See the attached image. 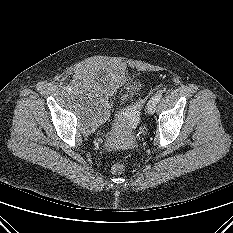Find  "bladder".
Wrapping results in <instances>:
<instances>
[{
  "label": "bladder",
  "mask_w": 233,
  "mask_h": 233,
  "mask_svg": "<svg viewBox=\"0 0 233 233\" xmlns=\"http://www.w3.org/2000/svg\"><path fill=\"white\" fill-rule=\"evenodd\" d=\"M124 88V98L135 95L137 82H130L124 70L99 62L82 65L72 81L82 127L90 132L104 124L110 116V100Z\"/></svg>",
  "instance_id": "bladder-1"
}]
</instances>
